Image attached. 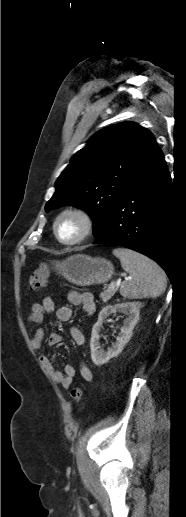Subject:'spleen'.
<instances>
[{
  "instance_id": "spleen-1",
  "label": "spleen",
  "mask_w": 186,
  "mask_h": 517,
  "mask_svg": "<svg viewBox=\"0 0 186 517\" xmlns=\"http://www.w3.org/2000/svg\"><path fill=\"white\" fill-rule=\"evenodd\" d=\"M113 254L120 259L122 268L129 273L120 287V294L124 298H156L165 291V272L155 262L126 248L114 249Z\"/></svg>"
}]
</instances>
